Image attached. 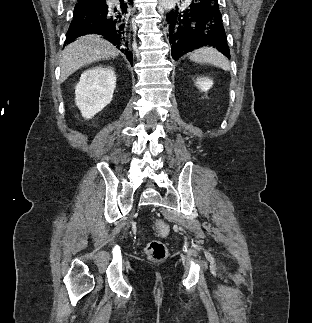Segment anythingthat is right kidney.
I'll list each match as a JSON object with an SVG mask.
<instances>
[{
	"mask_svg": "<svg viewBox=\"0 0 312 323\" xmlns=\"http://www.w3.org/2000/svg\"><path fill=\"white\" fill-rule=\"evenodd\" d=\"M116 88V76L112 68L95 66L81 74L75 88L76 106L83 118H93L110 104Z\"/></svg>",
	"mask_w": 312,
	"mask_h": 323,
	"instance_id": "right-kidney-1",
	"label": "right kidney"
}]
</instances>
